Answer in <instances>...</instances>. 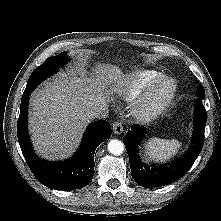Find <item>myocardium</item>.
Here are the masks:
<instances>
[{
    "label": "myocardium",
    "instance_id": "obj_1",
    "mask_svg": "<svg viewBox=\"0 0 221 221\" xmlns=\"http://www.w3.org/2000/svg\"><path fill=\"white\" fill-rule=\"evenodd\" d=\"M177 93L176 80L168 75H160L152 80L137 96L132 112L139 121H150L162 114Z\"/></svg>",
    "mask_w": 221,
    "mask_h": 221
}]
</instances>
